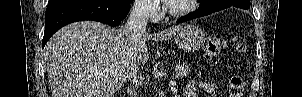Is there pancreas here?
I'll return each instance as SVG.
<instances>
[{
    "label": "pancreas",
    "mask_w": 302,
    "mask_h": 97,
    "mask_svg": "<svg viewBox=\"0 0 302 97\" xmlns=\"http://www.w3.org/2000/svg\"><path fill=\"white\" fill-rule=\"evenodd\" d=\"M190 72V68L188 65L178 64L175 67V78H183L187 76Z\"/></svg>",
    "instance_id": "1"
}]
</instances>
